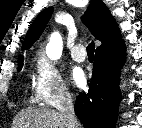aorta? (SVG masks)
Instances as JSON below:
<instances>
[{"label": "aorta", "instance_id": "1", "mask_svg": "<svg viewBox=\"0 0 142 128\" xmlns=\"http://www.w3.org/2000/svg\"><path fill=\"white\" fill-rule=\"evenodd\" d=\"M63 50L62 37L58 32L51 34L50 41L46 46L47 55L50 58L56 59L61 56Z\"/></svg>", "mask_w": 142, "mask_h": 128}]
</instances>
